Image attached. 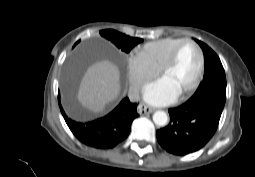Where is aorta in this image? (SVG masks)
Here are the masks:
<instances>
[{
	"instance_id": "aorta-1",
	"label": "aorta",
	"mask_w": 255,
	"mask_h": 177,
	"mask_svg": "<svg viewBox=\"0 0 255 177\" xmlns=\"http://www.w3.org/2000/svg\"><path fill=\"white\" fill-rule=\"evenodd\" d=\"M153 121L158 126H165L168 122V116L164 111H156L153 114Z\"/></svg>"
}]
</instances>
